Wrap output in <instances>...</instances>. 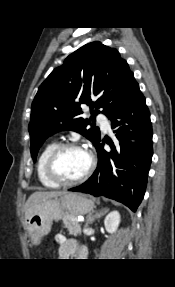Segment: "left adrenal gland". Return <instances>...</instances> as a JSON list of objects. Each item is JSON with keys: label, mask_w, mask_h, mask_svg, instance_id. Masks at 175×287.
Instances as JSON below:
<instances>
[{"label": "left adrenal gland", "mask_w": 175, "mask_h": 287, "mask_svg": "<svg viewBox=\"0 0 175 287\" xmlns=\"http://www.w3.org/2000/svg\"><path fill=\"white\" fill-rule=\"evenodd\" d=\"M107 208H102L99 211H92L87 215L86 226L93 223L95 219L104 216L107 213Z\"/></svg>", "instance_id": "1"}]
</instances>
